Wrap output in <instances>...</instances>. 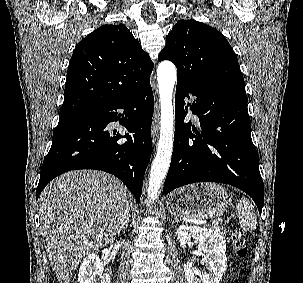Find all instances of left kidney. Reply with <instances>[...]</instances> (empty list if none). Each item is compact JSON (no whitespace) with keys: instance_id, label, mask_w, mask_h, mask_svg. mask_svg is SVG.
Returning a JSON list of instances; mask_svg holds the SVG:
<instances>
[{"instance_id":"left-kidney-1","label":"left kidney","mask_w":303,"mask_h":283,"mask_svg":"<svg viewBox=\"0 0 303 283\" xmlns=\"http://www.w3.org/2000/svg\"><path fill=\"white\" fill-rule=\"evenodd\" d=\"M176 234L183 248L191 244V238H195L199 251L203 252L201 264L207 269V272L201 273L192 262L184 264L187 283H219L227 268L223 236L207 228L187 225H180Z\"/></svg>"}]
</instances>
